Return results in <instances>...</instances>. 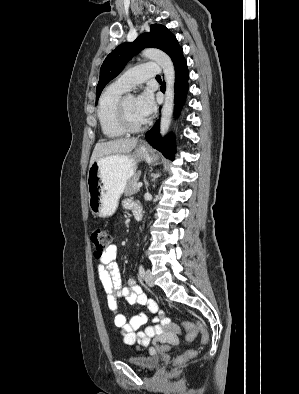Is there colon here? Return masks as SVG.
<instances>
[{
  "label": "colon",
  "instance_id": "1",
  "mask_svg": "<svg viewBox=\"0 0 299 394\" xmlns=\"http://www.w3.org/2000/svg\"><path fill=\"white\" fill-rule=\"evenodd\" d=\"M90 240L93 246V251L95 256L100 257L103 256L111 244V235L109 232L101 227H95L91 230ZM183 328L187 331L186 340L191 342L197 336V334H201V343L203 345L208 344L210 336L208 330L201 324H193L190 322H184L182 324ZM196 352L194 350H189L181 355H179L176 359L178 364H182L187 362L188 360L194 358Z\"/></svg>",
  "mask_w": 299,
  "mask_h": 394
}]
</instances>
